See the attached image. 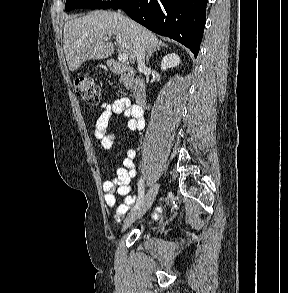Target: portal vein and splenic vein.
Masks as SVG:
<instances>
[{"instance_id":"18ae733b","label":"portal vein and splenic vein","mask_w":288,"mask_h":293,"mask_svg":"<svg viewBox=\"0 0 288 293\" xmlns=\"http://www.w3.org/2000/svg\"><path fill=\"white\" fill-rule=\"evenodd\" d=\"M104 40H107V38H104ZM118 60L124 63L128 61V55L126 53H119Z\"/></svg>"}]
</instances>
